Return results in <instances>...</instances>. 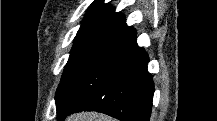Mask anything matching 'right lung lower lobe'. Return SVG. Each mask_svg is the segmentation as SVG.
<instances>
[{
  "mask_svg": "<svg viewBox=\"0 0 217 121\" xmlns=\"http://www.w3.org/2000/svg\"><path fill=\"white\" fill-rule=\"evenodd\" d=\"M148 56L125 29L96 61L55 98L58 121L74 112L98 111L121 121H149L154 82Z\"/></svg>",
  "mask_w": 217,
  "mask_h": 121,
  "instance_id": "1",
  "label": "right lung lower lobe"
}]
</instances>
